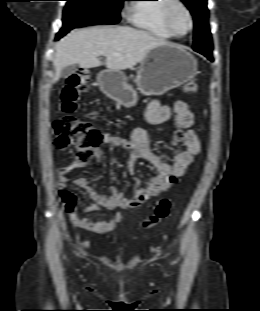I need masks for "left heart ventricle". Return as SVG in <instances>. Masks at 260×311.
I'll return each mask as SVG.
<instances>
[{"instance_id": "b2bd125f", "label": "left heart ventricle", "mask_w": 260, "mask_h": 311, "mask_svg": "<svg viewBox=\"0 0 260 311\" xmlns=\"http://www.w3.org/2000/svg\"><path fill=\"white\" fill-rule=\"evenodd\" d=\"M172 26L176 32L183 34L189 29V21L186 13L179 7L173 10L171 17Z\"/></svg>"}]
</instances>
